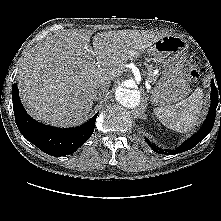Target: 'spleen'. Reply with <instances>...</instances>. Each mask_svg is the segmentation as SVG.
I'll use <instances>...</instances> for the list:
<instances>
[{
  "label": "spleen",
  "instance_id": "spleen-1",
  "mask_svg": "<svg viewBox=\"0 0 221 221\" xmlns=\"http://www.w3.org/2000/svg\"><path fill=\"white\" fill-rule=\"evenodd\" d=\"M202 99V90L197 88L185 100L174 105L156 107L154 113L164 126L187 133L201 123Z\"/></svg>",
  "mask_w": 221,
  "mask_h": 221
}]
</instances>
